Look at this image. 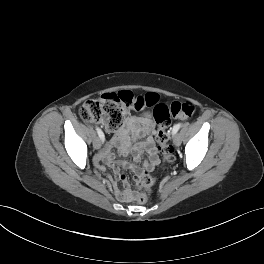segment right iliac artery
<instances>
[{"instance_id":"obj_1","label":"right iliac artery","mask_w":264,"mask_h":264,"mask_svg":"<svg viewBox=\"0 0 264 264\" xmlns=\"http://www.w3.org/2000/svg\"><path fill=\"white\" fill-rule=\"evenodd\" d=\"M96 131L100 137V139L104 142L105 138H104V133L102 132V130L98 127H96Z\"/></svg>"}]
</instances>
